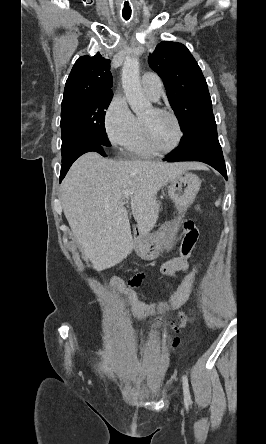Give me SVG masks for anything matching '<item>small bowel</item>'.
<instances>
[{
  "label": "small bowel",
  "mask_w": 266,
  "mask_h": 444,
  "mask_svg": "<svg viewBox=\"0 0 266 444\" xmlns=\"http://www.w3.org/2000/svg\"><path fill=\"white\" fill-rule=\"evenodd\" d=\"M198 236L199 233L194 223L191 221H186L184 223L183 231L176 239L177 242L180 243V255L177 258L170 260L162 265V274L169 277H175L178 271H188L189 260L191 259L193 250L198 240ZM143 280L144 274L140 272L133 275V277H131L129 281L131 282L132 287L135 288L138 287L143 282ZM112 282L115 283L116 280H113ZM191 318L192 313L190 311H180L177 314V321L171 322L170 325L173 328L174 332L177 334L180 329L184 328L188 324ZM178 341V337L175 336L171 342L172 346H177Z\"/></svg>",
  "instance_id": "1"
}]
</instances>
